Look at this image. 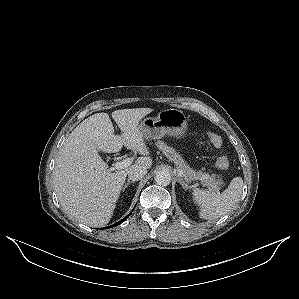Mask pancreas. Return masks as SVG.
Instances as JSON below:
<instances>
[{
	"label": "pancreas",
	"mask_w": 299,
	"mask_h": 299,
	"mask_svg": "<svg viewBox=\"0 0 299 299\" xmlns=\"http://www.w3.org/2000/svg\"><path fill=\"white\" fill-rule=\"evenodd\" d=\"M156 145L170 161L175 163L177 169L182 170L183 176L187 181L201 180L203 185L208 187L211 191H219V186L222 185L223 182L221 179H216L215 174L210 175L209 173L202 172L201 170H193L174 148L168 146L162 141H158Z\"/></svg>",
	"instance_id": "obj_1"
}]
</instances>
